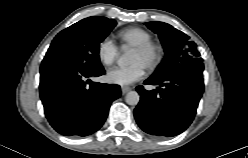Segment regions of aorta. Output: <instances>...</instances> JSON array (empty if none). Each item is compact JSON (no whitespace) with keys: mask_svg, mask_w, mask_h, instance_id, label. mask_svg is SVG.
I'll return each instance as SVG.
<instances>
[{"mask_svg":"<svg viewBox=\"0 0 248 158\" xmlns=\"http://www.w3.org/2000/svg\"><path fill=\"white\" fill-rule=\"evenodd\" d=\"M129 51L124 49L123 54L118 59V65L121 67L126 66L129 64ZM140 96L136 91H130L126 94L125 101L128 105H137L139 103Z\"/></svg>","mask_w":248,"mask_h":158,"instance_id":"762f6f07","label":"aorta"}]
</instances>
